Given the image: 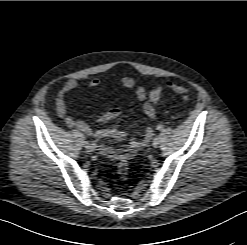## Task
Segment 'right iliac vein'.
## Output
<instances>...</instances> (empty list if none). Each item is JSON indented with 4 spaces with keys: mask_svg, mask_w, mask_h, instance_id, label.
<instances>
[{
    "mask_svg": "<svg viewBox=\"0 0 247 245\" xmlns=\"http://www.w3.org/2000/svg\"><path fill=\"white\" fill-rule=\"evenodd\" d=\"M85 149H86L87 152L94 151V149H92V148L89 147L88 143L85 144Z\"/></svg>",
    "mask_w": 247,
    "mask_h": 245,
    "instance_id": "obj_1",
    "label": "right iliac vein"
}]
</instances>
